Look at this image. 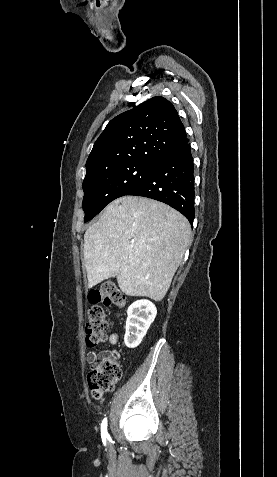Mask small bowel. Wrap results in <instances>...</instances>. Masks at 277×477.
<instances>
[{
	"label": "small bowel",
	"instance_id": "c3829d8e",
	"mask_svg": "<svg viewBox=\"0 0 277 477\" xmlns=\"http://www.w3.org/2000/svg\"><path fill=\"white\" fill-rule=\"evenodd\" d=\"M117 342H118V335L116 333H112L108 338V345L113 346ZM109 353H111V351L109 349H103V350H100V351H90L87 354V361L90 364H92L95 361H97L98 359L108 355Z\"/></svg>",
	"mask_w": 277,
	"mask_h": 477
}]
</instances>
